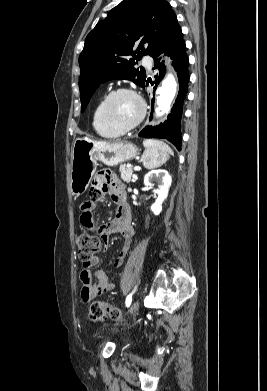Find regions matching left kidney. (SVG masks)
Instances as JSON below:
<instances>
[{
	"label": "left kidney",
	"instance_id": "obj_1",
	"mask_svg": "<svg viewBox=\"0 0 267 391\" xmlns=\"http://www.w3.org/2000/svg\"><path fill=\"white\" fill-rule=\"evenodd\" d=\"M156 183V185L154 184ZM172 183V178L168 171L166 170H152L148 174H146L144 178V185L145 186H153L155 185L156 188L154 189V193L157 194V199L155 203L151 206V210L155 215H159L162 211V203L168 196L169 188Z\"/></svg>",
	"mask_w": 267,
	"mask_h": 391
}]
</instances>
